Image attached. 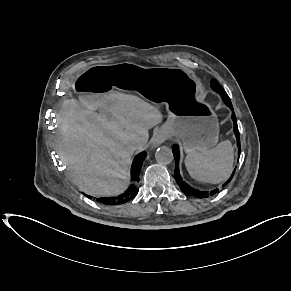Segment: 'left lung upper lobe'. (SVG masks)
<instances>
[{"label": "left lung upper lobe", "instance_id": "obj_1", "mask_svg": "<svg viewBox=\"0 0 291 291\" xmlns=\"http://www.w3.org/2000/svg\"><path fill=\"white\" fill-rule=\"evenodd\" d=\"M211 87L213 90H215L218 93L225 92L224 89L220 86V84L216 80H211Z\"/></svg>", "mask_w": 291, "mask_h": 291}]
</instances>
